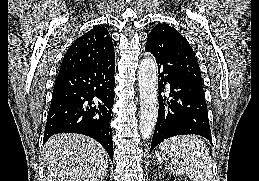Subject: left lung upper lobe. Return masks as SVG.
<instances>
[{"label":"left lung upper lobe","mask_w":259,"mask_h":181,"mask_svg":"<svg viewBox=\"0 0 259 181\" xmlns=\"http://www.w3.org/2000/svg\"><path fill=\"white\" fill-rule=\"evenodd\" d=\"M146 45L173 49L176 68L180 75L198 90L203 91L200 67L186 39L167 24H157L148 35Z\"/></svg>","instance_id":"obj_1"}]
</instances>
